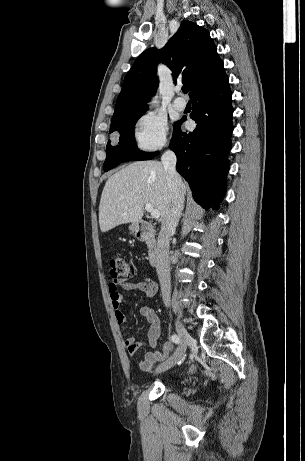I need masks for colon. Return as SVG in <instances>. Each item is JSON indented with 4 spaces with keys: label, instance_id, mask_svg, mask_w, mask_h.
<instances>
[{
    "label": "colon",
    "instance_id": "1",
    "mask_svg": "<svg viewBox=\"0 0 305 461\" xmlns=\"http://www.w3.org/2000/svg\"><path fill=\"white\" fill-rule=\"evenodd\" d=\"M134 274L130 264L121 256L110 259V275L114 280H125Z\"/></svg>",
    "mask_w": 305,
    "mask_h": 461
}]
</instances>
